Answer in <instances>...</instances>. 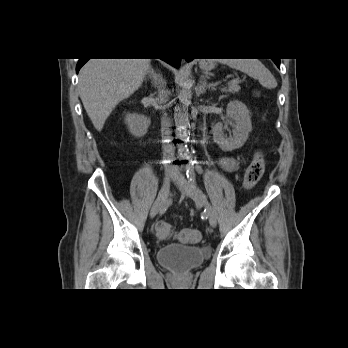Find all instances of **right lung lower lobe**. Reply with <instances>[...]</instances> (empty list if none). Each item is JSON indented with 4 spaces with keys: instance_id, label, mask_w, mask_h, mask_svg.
Returning a JSON list of instances; mask_svg holds the SVG:
<instances>
[{
    "instance_id": "obj_1",
    "label": "right lung lower lobe",
    "mask_w": 348,
    "mask_h": 348,
    "mask_svg": "<svg viewBox=\"0 0 348 348\" xmlns=\"http://www.w3.org/2000/svg\"><path fill=\"white\" fill-rule=\"evenodd\" d=\"M164 61H166L167 63L171 64L172 66L178 68L180 66L181 63V59L180 58H172V59H162ZM88 61V59H79L77 66H76V72L78 73V71L80 70V68Z\"/></svg>"
}]
</instances>
